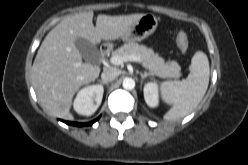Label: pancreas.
<instances>
[{"label": "pancreas", "instance_id": "cf45deb5", "mask_svg": "<svg viewBox=\"0 0 248 165\" xmlns=\"http://www.w3.org/2000/svg\"><path fill=\"white\" fill-rule=\"evenodd\" d=\"M132 54L140 57L142 65L148 69L152 75H156L160 78L174 79L181 77V67L176 61L165 62L162 57L145 45L129 42L112 53L113 56H126Z\"/></svg>", "mask_w": 248, "mask_h": 165}]
</instances>
